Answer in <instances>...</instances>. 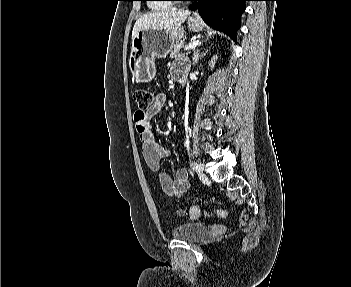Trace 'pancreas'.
Wrapping results in <instances>:
<instances>
[{"instance_id": "1", "label": "pancreas", "mask_w": 351, "mask_h": 287, "mask_svg": "<svg viewBox=\"0 0 351 287\" xmlns=\"http://www.w3.org/2000/svg\"><path fill=\"white\" fill-rule=\"evenodd\" d=\"M184 45L185 43L183 41H180L179 43L174 44L170 52V58L172 59L182 58L184 54L180 53V50L184 47Z\"/></svg>"}]
</instances>
